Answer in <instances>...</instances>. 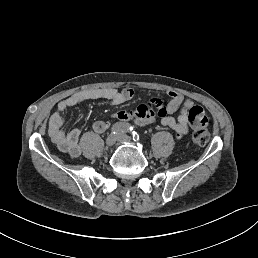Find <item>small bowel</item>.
Listing matches in <instances>:
<instances>
[{"mask_svg": "<svg viewBox=\"0 0 258 258\" xmlns=\"http://www.w3.org/2000/svg\"><path fill=\"white\" fill-rule=\"evenodd\" d=\"M134 90L126 87L121 90L115 88H93L78 91L57 104L56 111L49 119L48 132L52 142L57 148L72 157L81 154L79 146L80 130L73 128L69 131L64 130V113L68 108L89 100L106 99L113 105H121L131 100ZM169 101L164 104L159 97H152L147 104L138 106L133 111L120 110L113 114V118L121 123L133 121L140 126L153 123L160 118L161 124L175 131L177 138H181L188 132L189 127L199 128L208 124V118L201 106L186 98L179 92L170 90L167 92ZM179 110L177 118L172 115ZM96 133H103L109 128L106 121H96L93 124Z\"/></svg>", "mask_w": 258, "mask_h": 258, "instance_id": "small-bowel-1", "label": "small bowel"}]
</instances>
